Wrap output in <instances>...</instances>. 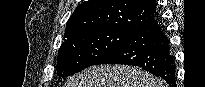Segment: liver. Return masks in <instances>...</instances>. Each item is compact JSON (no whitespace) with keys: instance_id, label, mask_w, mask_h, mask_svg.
<instances>
[{"instance_id":"liver-1","label":"liver","mask_w":205,"mask_h":87,"mask_svg":"<svg viewBox=\"0 0 205 87\" xmlns=\"http://www.w3.org/2000/svg\"><path fill=\"white\" fill-rule=\"evenodd\" d=\"M65 87H163L160 79L123 65L92 66L67 80Z\"/></svg>"}]
</instances>
